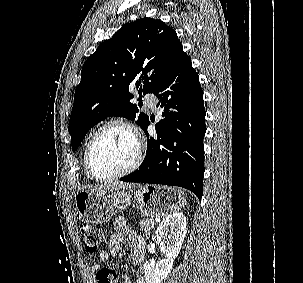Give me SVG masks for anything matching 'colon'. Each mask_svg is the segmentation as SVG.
<instances>
[{
  "label": "colon",
  "mask_w": 303,
  "mask_h": 283,
  "mask_svg": "<svg viewBox=\"0 0 303 283\" xmlns=\"http://www.w3.org/2000/svg\"><path fill=\"white\" fill-rule=\"evenodd\" d=\"M80 236L85 250L95 254L106 240V233L92 225H83L80 229ZM97 283H117V273L107 267L99 269L96 273Z\"/></svg>",
  "instance_id": "5ec220e1"
}]
</instances>
